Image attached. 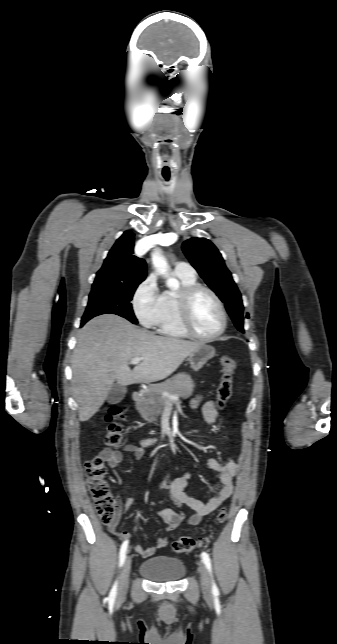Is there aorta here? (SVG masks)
<instances>
[{"mask_svg":"<svg viewBox=\"0 0 337 644\" xmlns=\"http://www.w3.org/2000/svg\"><path fill=\"white\" fill-rule=\"evenodd\" d=\"M152 264L157 272L162 274L167 278L166 285L172 290H177L179 288V282L175 278H171L168 275L169 266L166 259L162 256L160 250L155 249L151 254Z\"/></svg>","mask_w":337,"mask_h":644,"instance_id":"1","label":"aorta"}]
</instances>
